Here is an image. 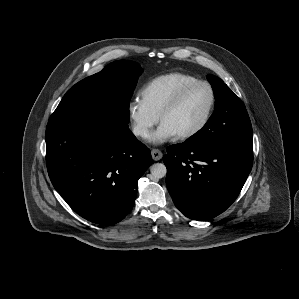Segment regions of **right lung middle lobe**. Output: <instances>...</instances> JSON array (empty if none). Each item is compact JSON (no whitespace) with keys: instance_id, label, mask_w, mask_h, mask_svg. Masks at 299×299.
I'll return each mask as SVG.
<instances>
[{"instance_id":"right-lung-middle-lobe-1","label":"right lung middle lobe","mask_w":299,"mask_h":299,"mask_svg":"<svg viewBox=\"0 0 299 299\" xmlns=\"http://www.w3.org/2000/svg\"><path fill=\"white\" fill-rule=\"evenodd\" d=\"M140 65L119 60L89 76L66 92L48 123H75L98 116L115 117L129 123V101L139 75Z\"/></svg>"}]
</instances>
